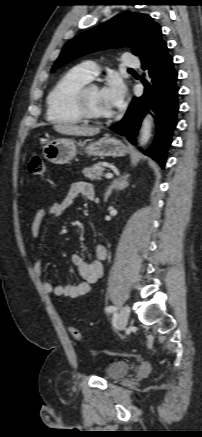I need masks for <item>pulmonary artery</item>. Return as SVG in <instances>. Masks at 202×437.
Returning a JSON list of instances; mask_svg holds the SVG:
<instances>
[{"mask_svg":"<svg viewBox=\"0 0 202 437\" xmlns=\"http://www.w3.org/2000/svg\"><path fill=\"white\" fill-rule=\"evenodd\" d=\"M122 64L127 68L134 69L140 66V61L135 56L125 54L122 58ZM79 68L90 80L93 79L99 72L98 66L92 61L82 63Z\"/></svg>","mask_w":202,"mask_h":437,"instance_id":"e3ab8cb5","label":"pulmonary artery"}]
</instances>
